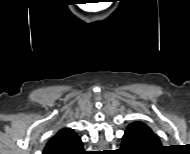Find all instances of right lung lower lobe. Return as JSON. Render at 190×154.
<instances>
[{
  "instance_id": "obj_1",
  "label": "right lung lower lobe",
  "mask_w": 190,
  "mask_h": 154,
  "mask_svg": "<svg viewBox=\"0 0 190 154\" xmlns=\"http://www.w3.org/2000/svg\"><path fill=\"white\" fill-rule=\"evenodd\" d=\"M84 153V150L80 151L79 154H83Z\"/></svg>"
}]
</instances>
